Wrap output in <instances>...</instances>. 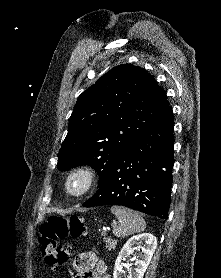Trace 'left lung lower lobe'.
Returning a JSON list of instances; mask_svg holds the SVG:
<instances>
[{
    "instance_id": "obj_1",
    "label": "left lung lower lobe",
    "mask_w": 221,
    "mask_h": 278,
    "mask_svg": "<svg viewBox=\"0 0 221 278\" xmlns=\"http://www.w3.org/2000/svg\"><path fill=\"white\" fill-rule=\"evenodd\" d=\"M173 125L170 108L121 151L100 180L95 195L83 206L122 205L167 219L174 162Z\"/></svg>"
}]
</instances>
